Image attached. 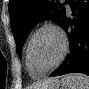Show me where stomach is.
<instances>
[{
    "label": "stomach",
    "instance_id": "obj_1",
    "mask_svg": "<svg viewBox=\"0 0 89 89\" xmlns=\"http://www.w3.org/2000/svg\"><path fill=\"white\" fill-rule=\"evenodd\" d=\"M45 89H68V85L65 81H63L61 79L57 83H54V84L46 87Z\"/></svg>",
    "mask_w": 89,
    "mask_h": 89
}]
</instances>
